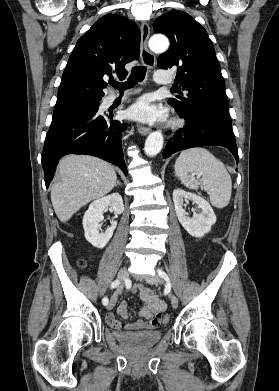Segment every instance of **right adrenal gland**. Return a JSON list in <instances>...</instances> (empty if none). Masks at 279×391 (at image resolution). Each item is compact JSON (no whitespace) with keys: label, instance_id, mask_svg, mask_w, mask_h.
<instances>
[{"label":"right adrenal gland","instance_id":"1","mask_svg":"<svg viewBox=\"0 0 279 391\" xmlns=\"http://www.w3.org/2000/svg\"><path fill=\"white\" fill-rule=\"evenodd\" d=\"M118 185H122V183L119 180L116 183V186H118Z\"/></svg>","mask_w":279,"mask_h":391}]
</instances>
